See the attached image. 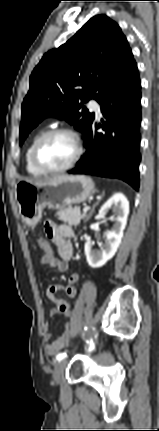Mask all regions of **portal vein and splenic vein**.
<instances>
[{
    "instance_id": "1",
    "label": "portal vein and splenic vein",
    "mask_w": 159,
    "mask_h": 431,
    "mask_svg": "<svg viewBox=\"0 0 159 431\" xmlns=\"http://www.w3.org/2000/svg\"><path fill=\"white\" fill-rule=\"evenodd\" d=\"M89 209H90V207L86 206V207L83 208V212H87Z\"/></svg>"
}]
</instances>
